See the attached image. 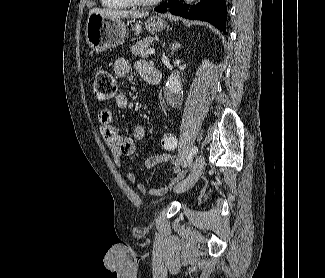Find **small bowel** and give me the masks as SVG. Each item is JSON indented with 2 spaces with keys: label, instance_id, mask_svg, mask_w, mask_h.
I'll use <instances>...</instances> for the list:
<instances>
[{
  "label": "small bowel",
  "instance_id": "small-bowel-1",
  "mask_svg": "<svg viewBox=\"0 0 325 278\" xmlns=\"http://www.w3.org/2000/svg\"><path fill=\"white\" fill-rule=\"evenodd\" d=\"M148 64L145 61H138L137 62V69L142 77H144L145 69ZM113 69L117 76L125 77L129 74L131 69V62L127 58H119L114 62ZM115 103L117 107L121 110H126L128 108V98L127 96L119 92L115 96ZM98 119L100 123V132L104 138V141L107 147L112 152L115 161L119 167H121V157L122 156H130L132 155L137 147V144L141 142L145 137V127L142 124H139L134 127L132 133L127 137H122L117 129L112 125V114L107 109H102L98 113ZM169 134H173L170 132L164 133L162 137H165ZM171 162L175 166V176L174 178L170 179L167 184L162 188H152L147 189V187L143 183H138L137 187L141 191L149 190L150 193L154 195H160L166 191L168 187H171L174 183L178 180L183 178L184 172H180L178 170V159L171 155L168 152L159 153L152 157H150L146 161V167L148 169L154 168L156 165L161 163ZM126 179L131 182H136V175L134 172L127 171L125 173Z\"/></svg>",
  "mask_w": 325,
  "mask_h": 278
}]
</instances>
